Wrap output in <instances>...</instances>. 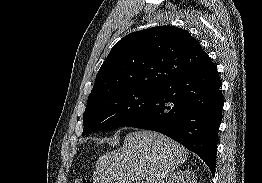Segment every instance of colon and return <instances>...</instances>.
<instances>
[{
  "label": "colon",
  "instance_id": "colon-1",
  "mask_svg": "<svg viewBox=\"0 0 262 183\" xmlns=\"http://www.w3.org/2000/svg\"><path fill=\"white\" fill-rule=\"evenodd\" d=\"M72 183H88L85 178H75Z\"/></svg>",
  "mask_w": 262,
  "mask_h": 183
}]
</instances>
